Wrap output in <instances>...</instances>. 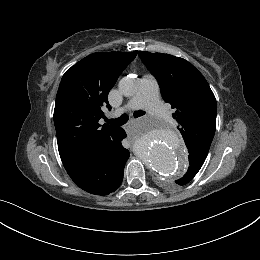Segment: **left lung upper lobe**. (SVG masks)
<instances>
[{"label": "left lung upper lobe", "instance_id": "1", "mask_svg": "<svg viewBox=\"0 0 260 260\" xmlns=\"http://www.w3.org/2000/svg\"><path fill=\"white\" fill-rule=\"evenodd\" d=\"M159 82L163 99L176 108L174 119L189 155L205 161L216 129L217 104L203 75L188 61L169 54L139 51Z\"/></svg>", "mask_w": 260, "mask_h": 260}]
</instances>
